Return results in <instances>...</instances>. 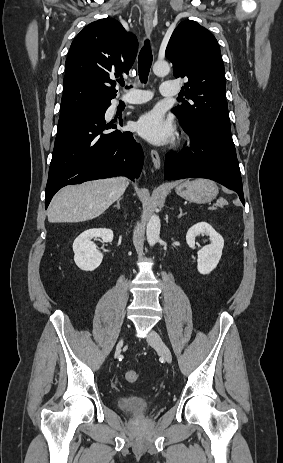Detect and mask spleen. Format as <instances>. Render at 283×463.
Returning <instances> with one entry per match:
<instances>
[{
    "label": "spleen",
    "mask_w": 283,
    "mask_h": 463,
    "mask_svg": "<svg viewBox=\"0 0 283 463\" xmlns=\"http://www.w3.org/2000/svg\"><path fill=\"white\" fill-rule=\"evenodd\" d=\"M218 202L221 203V204L226 203V201H225L223 198H221L220 200H218Z\"/></svg>",
    "instance_id": "3e777b00"
}]
</instances>
